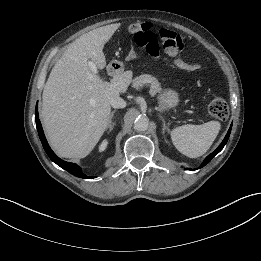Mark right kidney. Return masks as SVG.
I'll use <instances>...</instances> for the list:
<instances>
[{
	"label": "right kidney",
	"instance_id": "1",
	"mask_svg": "<svg viewBox=\"0 0 261 261\" xmlns=\"http://www.w3.org/2000/svg\"><path fill=\"white\" fill-rule=\"evenodd\" d=\"M107 145H108V141L107 140H104L101 145L99 146V151L100 152H103L106 148H107Z\"/></svg>",
	"mask_w": 261,
	"mask_h": 261
}]
</instances>
